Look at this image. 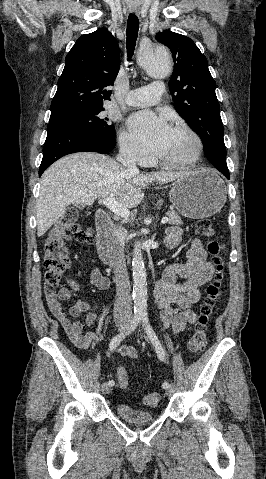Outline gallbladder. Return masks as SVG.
Returning <instances> with one entry per match:
<instances>
[{
    "instance_id": "obj_1",
    "label": "gallbladder",
    "mask_w": 266,
    "mask_h": 479,
    "mask_svg": "<svg viewBox=\"0 0 266 479\" xmlns=\"http://www.w3.org/2000/svg\"><path fill=\"white\" fill-rule=\"evenodd\" d=\"M75 206L78 207V208H82V207H83V206L80 205V204H76Z\"/></svg>"
}]
</instances>
